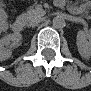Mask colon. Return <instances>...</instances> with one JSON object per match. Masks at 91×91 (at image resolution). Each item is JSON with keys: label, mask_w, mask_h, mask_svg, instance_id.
Segmentation results:
<instances>
[{"label": "colon", "mask_w": 91, "mask_h": 91, "mask_svg": "<svg viewBox=\"0 0 91 91\" xmlns=\"http://www.w3.org/2000/svg\"><path fill=\"white\" fill-rule=\"evenodd\" d=\"M0 11H1V12H5V7H4V5H1Z\"/></svg>", "instance_id": "5ec220e1"}]
</instances>
